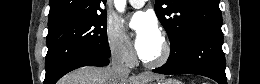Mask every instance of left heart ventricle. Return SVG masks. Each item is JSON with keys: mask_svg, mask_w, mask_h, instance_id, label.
<instances>
[{"mask_svg": "<svg viewBox=\"0 0 260 84\" xmlns=\"http://www.w3.org/2000/svg\"><path fill=\"white\" fill-rule=\"evenodd\" d=\"M160 51H161V42L159 43V45L156 48V50L152 54H150L149 56H147L145 58L146 59H154V58H156L160 54Z\"/></svg>", "mask_w": 260, "mask_h": 84, "instance_id": "left-heart-ventricle-1", "label": "left heart ventricle"}]
</instances>
